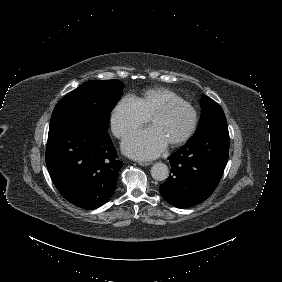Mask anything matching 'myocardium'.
I'll list each match as a JSON object with an SVG mask.
<instances>
[{
  "mask_svg": "<svg viewBox=\"0 0 282 282\" xmlns=\"http://www.w3.org/2000/svg\"><path fill=\"white\" fill-rule=\"evenodd\" d=\"M175 109H184L189 115V123L184 133L175 140L169 142L172 146H178L186 142L193 134L197 125V113L195 109L187 102L182 100H172L160 110H155L149 117V123H152L154 118L164 116Z\"/></svg>",
  "mask_w": 282,
  "mask_h": 282,
  "instance_id": "myocardium-1",
  "label": "myocardium"
}]
</instances>
